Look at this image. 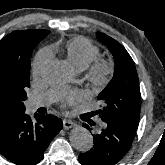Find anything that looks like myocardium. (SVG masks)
I'll use <instances>...</instances> for the list:
<instances>
[{"mask_svg":"<svg viewBox=\"0 0 165 165\" xmlns=\"http://www.w3.org/2000/svg\"><path fill=\"white\" fill-rule=\"evenodd\" d=\"M113 73V64L106 59L98 58L86 68L85 80L96 88H103L109 84Z\"/></svg>","mask_w":165,"mask_h":165,"instance_id":"1","label":"myocardium"}]
</instances>
